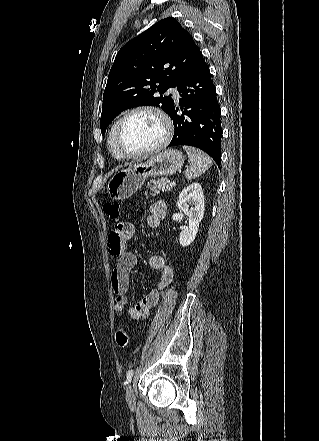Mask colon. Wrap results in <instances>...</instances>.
Segmentation results:
<instances>
[{"mask_svg":"<svg viewBox=\"0 0 319 441\" xmlns=\"http://www.w3.org/2000/svg\"><path fill=\"white\" fill-rule=\"evenodd\" d=\"M103 211L108 217V219L115 223L119 224L121 218L120 204L115 201H109L104 203ZM116 342L120 348H128L130 345V336L129 333L125 329H120L116 333Z\"/></svg>","mask_w":319,"mask_h":441,"instance_id":"colon-1","label":"colon"}]
</instances>
